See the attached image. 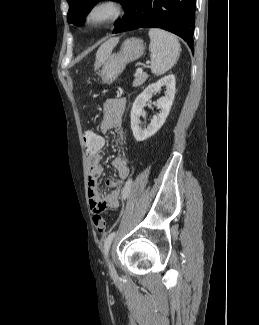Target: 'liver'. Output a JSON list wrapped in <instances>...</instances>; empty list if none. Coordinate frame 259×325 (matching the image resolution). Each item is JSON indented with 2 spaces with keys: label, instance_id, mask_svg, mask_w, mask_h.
<instances>
[{
  "label": "liver",
  "instance_id": "1",
  "mask_svg": "<svg viewBox=\"0 0 259 325\" xmlns=\"http://www.w3.org/2000/svg\"><path fill=\"white\" fill-rule=\"evenodd\" d=\"M119 41V38H111L107 40L105 43H103L96 53V61H95V70L98 69L104 62L107 60V58L110 56L112 50L117 45Z\"/></svg>",
  "mask_w": 259,
  "mask_h": 325
}]
</instances>
